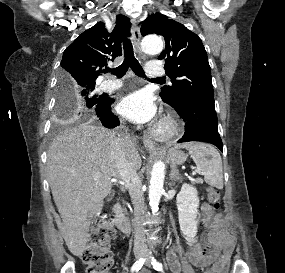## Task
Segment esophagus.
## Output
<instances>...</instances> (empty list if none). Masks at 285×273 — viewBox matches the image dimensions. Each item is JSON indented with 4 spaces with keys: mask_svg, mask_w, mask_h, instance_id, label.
Here are the masks:
<instances>
[{
    "mask_svg": "<svg viewBox=\"0 0 285 273\" xmlns=\"http://www.w3.org/2000/svg\"><path fill=\"white\" fill-rule=\"evenodd\" d=\"M131 23H132V37H133L135 50L137 51V53L141 58H144V55L140 47V41H141L140 28L136 20L132 19ZM143 144L148 151H154L156 149L155 143L147 137H143Z\"/></svg>",
    "mask_w": 285,
    "mask_h": 273,
    "instance_id": "esophagus-1",
    "label": "esophagus"
}]
</instances>
